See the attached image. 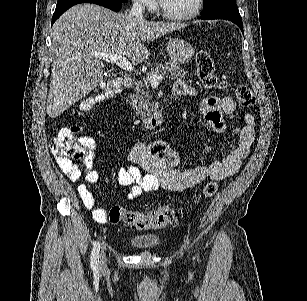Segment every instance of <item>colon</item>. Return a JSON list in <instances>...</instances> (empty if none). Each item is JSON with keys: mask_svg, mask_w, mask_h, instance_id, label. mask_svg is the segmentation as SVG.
Wrapping results in <instances>:
<instances>
[{"mask_svg": "<svg viewBox=\"0 0 307 301\" xmlns=\"http://www.w3.org/2000/svg\"><path fill=\"white\" fill-rule=\"evenodd\" d=\"M197 74L204 85L209 89H222L226 82L219 78L215 72V65L211 55L201 50L196 56ZM121 82L119 80H108L101 84L98 93L82 101L80 110H89L97 103L112 97L119 92ZM236 98L242 107H249L254 104L252 90L245 85L236 88ZM81 129L77 126L67 127L58 132L50 141V149L53 154L61 155L72 159H81L87 154V149L83 143ZM218 190L215 181H208L203 185L202 193L205 197H212ZM109 221L112 224L124 223L137 230H148L163 228L173 224L177 213L168 206H160L148 211H129L120 206H113L109 210Z\"/></svg>", "mask_w": 307, "mask_h": 301, "instance_id": "5ec220e1", "label": "colon"}]
</instances>
